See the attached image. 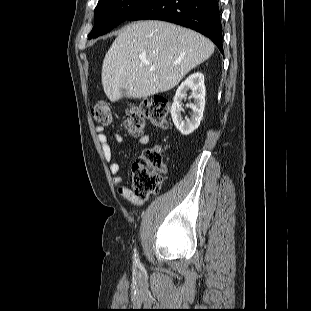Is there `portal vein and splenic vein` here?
<instances>
[{"label":"portal vein and splenic vein","mask_w":311,"mask_h":311,"mask_svg":"<svg viewBox=\"0 0 311 311\" xmlns=\"http://www.w3.org/2000/svg\"><path fill=\"white\" fill-rule=\"evenodd\" d=\"M142 62L146 65L151 64V68L154 69L155 67L152 65V63H150L149 61H147L146 59H142Z\"/></svg>","instance_id":"1"}]
</instances>
